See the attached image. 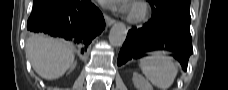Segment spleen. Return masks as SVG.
I'll return each instance as SVG.
<instances>
[{
    "mask_svg": "<svg viewBox=\"0 0 228 90\" xmlns=\"http://www.w3.org/2000/svg\"><path fill=\"white\" fill-rule=\"evenodd\" d=\"M140 67L146 78L160 90H167L178 73L174 59L164 51L153 52L141 59Z\"/></svg>",
    "mask_w": 228,
    "mask_h": 90,
    "instance_id": "3e777b00",
    "label": "spleen"
}]
</instances>
